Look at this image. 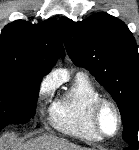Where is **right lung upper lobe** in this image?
<instances>
[{
	"label": "right lung upper lobe",
	"mask_w": 139,
	"mask_h": 150,
	"mask_svg": "<svg viewBox=\"0 0 139 150\" xmlns=\"http://www.w3.org/2000/svg\"><path fill=\"white\" fill-rule=\"evenodd\" d=\"M62 49L56 19L39 24L17 20L2 30L0 68L31 71L42 77L50 72Z\"/></svg>",
	"instance_id": "right-lung-upper-lobe-1"
}]
</instances>
